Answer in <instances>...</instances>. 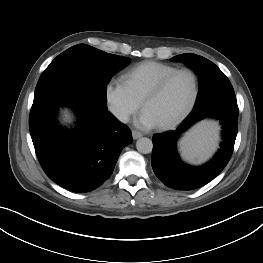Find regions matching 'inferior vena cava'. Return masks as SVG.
I'll list each match as a JSON object with an SVG mask.
<instances>
[{
    "label": "inferior vena cava",
    "mask_w": 263,
    "mask_h": 263,
    "mask_svg": "<svg viewBox=\"0 0 263 263\" xmlns=\"http://www.w3.org/2000/svg\"><path fill=\"white\" fill-rule=\"evenodd\" d=\"M117 118L123 122V123H127L128 122V115L125 112H120L117 114Z\"/></svg>",
    "instance_id": "inferior-vena-cava-1"
}]
</instances>
